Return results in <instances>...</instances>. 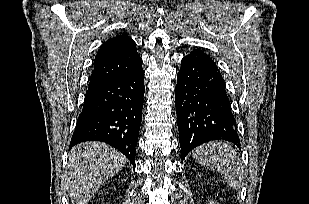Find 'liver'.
I'll return each instance as SVG.
<instances>
[{
  "label": "liver",
  "mask_w": 309,
  "mask_h": 204,
  "mask_svg": "<svg viewBox=\"0 0 309 204\" xmlns=\"http://www.w3.org/2000/svg\"><path fill=\"white\" fill-rule=\"evenodd\" d=\"M125 157L101 142H86L69 153L65 186L72 204H88L96 190L125 165Z\"/></svg>",
  "instance_id": "1"
}]
</instances>
